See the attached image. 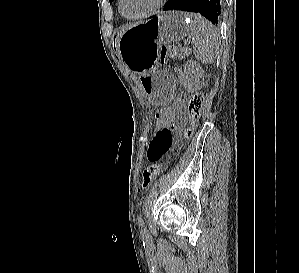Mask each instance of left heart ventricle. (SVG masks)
<instances>
[{
  "label": "left heart ventricle",
  "mask_w": 299,
  "mask_h": 273,
  "mask_svg": "<svg viewBox=\"0 0 299 273\" xmlns=\"http://www.w3.org/2000/svg\"><path fill=\"white\" fill-rule=\"evenodd\" d=\"M157 0H123L122 9L127 16H137L148 11Z\"/></svg>",
  "instance_id": "1"
}]
</instances>
